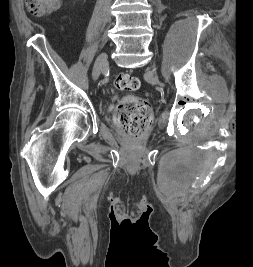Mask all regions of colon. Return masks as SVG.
Returning <instances> with one entry per match:
<instances>
[{
    "instance_id": "1",
    "label": "colon",
    "mask_w": 253,
    "mask_h": 267,
    "mask_svg": "<svg viewBox=\"0 0 253 267\" xmlns=\"http://www.w3.org/2000/svg\"><path fill=\"white\" fill-rule=\"evenodd\" d=\"M60 0H27L26 6L30 13L44 16L57 10ZM114 85L122 91H134L139 88L140 80L126 73H119ZM151 108L149 103L137 97L123 99L115 112V123L124 135L137 139L143 135L150 123Z\"/></svg>"
}]
</instances>
